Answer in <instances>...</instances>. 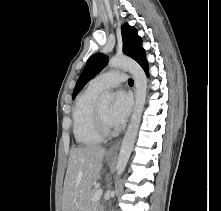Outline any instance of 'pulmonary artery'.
<instances>
[{
	"label": "pulmonary artery",
	"mask_w": 221,
	"mask_h": 211,
	"mask_svg": "<svg viewBox=\"0 0 221 211\" xmlns=\"http://www.w3.org/2000/svg\"><path fill=\"white\" fill-rule=\"evenodd\" d=\"M126 81V75L121 71H110L96 76L90 84L97 89L114 88Z\"/></svg>",
	"instance_id": "pulmonary-artery-1"
}]
</instances>
